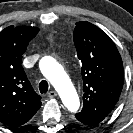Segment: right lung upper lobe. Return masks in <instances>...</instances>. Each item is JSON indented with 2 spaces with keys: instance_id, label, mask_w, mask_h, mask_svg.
I'll use <instances>...</instances> for the list:
<instances>
[{
  "instance_id": "obj_1",
  "label": "right lung upper lobe",
  "mask_w": 133,
  "mask_h": 133,
  "mask_svg": "<svg viewBox=\"0 0 133 133\" xmlns=\"http://www.w3.org/2000/svg\"><path fill=\"white\" fill-rule=\"evenodd\" d=\"M39 29L9 26L0 33V123L18 127L28 122L41 106L23 70L22 55Z\"/></svg>"
}]
</instances>
